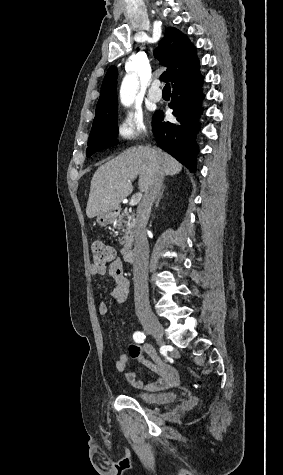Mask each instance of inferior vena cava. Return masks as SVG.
<instances>
[{
    "mask_svg": "<svg viewBox=\"0 0 283 475\" xmlns=\"http://www.w3.org/2000/svg\"><path fill=\"white\" fill-rule=\"evenodd\" d=\"M163 176L162 166L157 162L156 170H154L152 178L147 182L143 200L137 208L133 263L134 301L136 313L150 311L148 291L149 245L146 238L145 228L150 218L153 202L158 194H160L163 184Z\"/></svg>",
    "mask_w": 283,
    "mask_h": 475,
    "instance_id": "1",
    "label": "inferior vena cava"
}]
</instances>
